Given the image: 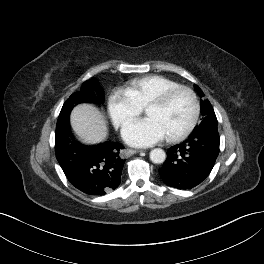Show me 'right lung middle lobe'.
Returning a JSON list of instances; mask_svg holds the SVG:
<instances>
[{
	"mask_svg": "<svg viewBox=\"0 0 264 264\" xmlns=\"http://www.w3.org/2000/svg\"><path fill=\"white\" fill-rule=\"evenodd\" d=\"M103 91L95 81H86L79 92L72 94L64 103L56 125V134L61 133L69 126V114L71 109L81 102L95 104L103 103Z\"/></svg>",
	"mask_w": 264,
	"mask_h": 264,
	"instance_id": "obj_1",
	"label": "right lung middle lobe"
}]
</instances>
